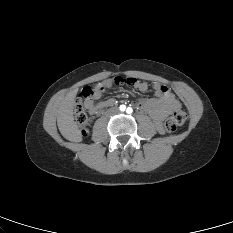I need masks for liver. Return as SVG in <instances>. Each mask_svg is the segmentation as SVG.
I'll use <instances>...</instances> for the list:
<instances>
[{"mask_svg":"<svg viewBox=\"0 0 233 233\" xmlns=\"http://www.w3.org/2000/svg\"><path fill=\"white\" fill-rule=\"evenodd\" d=\"M77 89L66 94L58 106L57 125L62 136L74 140L79 135L77 123L74 121L73 107Z\"/></svg>","mask_w":233,"mask_h":233,"instance_id":"6515ba94","label":"liver"}]
</instances>
